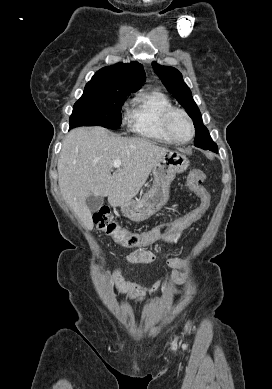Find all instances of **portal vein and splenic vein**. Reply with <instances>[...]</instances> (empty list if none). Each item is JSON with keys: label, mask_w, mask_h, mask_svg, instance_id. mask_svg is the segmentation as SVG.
I'll list each match as a JSON object with an SVG mask.
<instances>
[{"label": "portal vein and splenic vein", "mask_w": 272, "mask_h": 389, "mask_svg": "<svg viewBox=\"0 0 272 389\" xmlns=\"http://www.w3.org/2000/svg\"><path fill=\"white\" fill-rule=\"evenodd\" d=\"M121 163H122L121 160L119 159L115 160L113 164L114 168H119L121 166Z\"/></svg>", "instance_id": "obj_1"}]
</instances>
